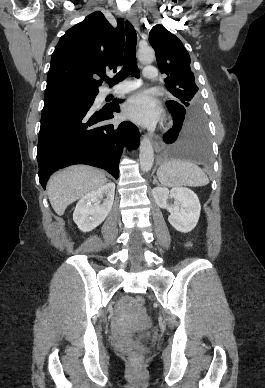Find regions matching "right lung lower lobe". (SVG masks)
Segmentation results:
<instances>
[{"label": "right lung lower lobe", "mask_w": 265, "mask_h": 388, "mask_svg": "<svg viewBox=\"0 0 265 388\" xmlns=\"http://www.w3.org/2000/svg\"><path fill=\"white\" fill-rule=\"evenodd\" d=\"M93 102L42 113L37 160L39 181L45 189L53 172L73 164H87L119 177L121 146L137 148L140 133L129 121L108 124L120 112L115 99L108 107L95 111Z\"/></svg>", "instance_id": "98d812e1"}]
</instances>
